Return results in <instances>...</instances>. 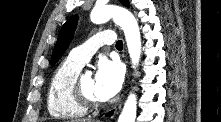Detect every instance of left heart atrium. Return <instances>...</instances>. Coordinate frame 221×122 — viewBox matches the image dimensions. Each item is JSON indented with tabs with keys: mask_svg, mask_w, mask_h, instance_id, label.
I'll return each instance as SVG.
<instances>
[{
	"mask_svg": "<svg viewBox=\"0 0 221 122\" xmlns=\"http://www.w3.org/2000/svg\"><path fill=\"white\" fill-rule=\"evenodd\" d=\"M123 83V69L116 60L102 58L97 65L94 78V93L99 101H107L114 97Z\"/></svg>",
	"mask_w": 221,
	"mask_h": 122,
	"instance_id": "left-heart-atrium-1",
	"label": "left heart atrium"
}]
</instances>
